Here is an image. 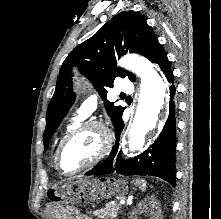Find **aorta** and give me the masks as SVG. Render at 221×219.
Returning a JSON list of instances; mask_svg holds the SVG:
<instances>
[{
    "mask_svg": "<svg viewBox=\"0 0 221 219\" xmlns=\"http://www.w3.org/2000/svg\"><path fill=\"white\" fill-rule=\"evenodd\" d=\"M119 64L141 78L138 104L128 138L129 149L134 152L142 149L145 135L157 124L165 106L167 83L155 65L139 55L127 54Z\"/></svg>",
    "mask_w": 221,
    "mask_h": 219,
    "instance_id": "obj_1",
    "label": "aorta"
}]
</instances>
